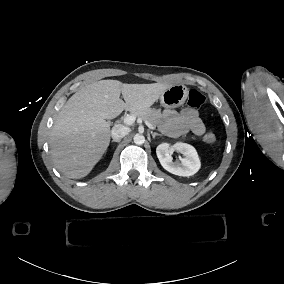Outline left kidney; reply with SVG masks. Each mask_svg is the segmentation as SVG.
I'll use <instances>...</instances> for the list:
<instances>
[{
    "instance_id": "1",
    "label": "left kidney",
    "mask_w": 284,
    "mask_h": 284,
    "mask_svg": "<svg viewBox=\"0 0 284 284\" xmlns=\"http://www.w3.org/2000/svg\"><path fill=\"white\" fill-rule=\"evenodd\" d=\"M175 150L185 156L181 163L172 161L171 154ZM156 154L162 167L178 176L194 175L201 167L196 149L187 143L177 142L173 146H170L168 143H162L157 146Z\"/></svg>"
}]
</instances>
